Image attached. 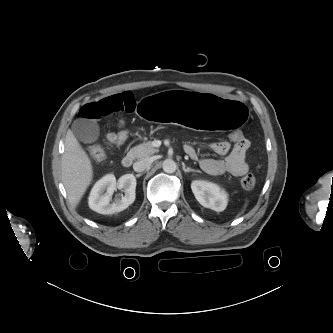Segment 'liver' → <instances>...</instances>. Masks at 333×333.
<instances>
[{"instance_id":"obj_1","label":"liver","mask_w":333,"mask_h":333,"mask_svg":"<svg viewBox=\"0 0 333 333\" xmlns=\"http://www.w3.org/2000/svg\"><path fill=\"white\" fill-rule=\"evenodd\" d=\"M62 181L68 198L78 205L93 177L91 161L71 130L65 137V152L61 161Z\"/></svg>"}]
</instances>
